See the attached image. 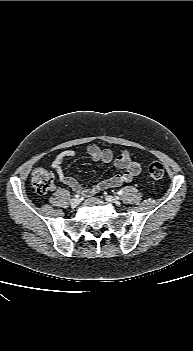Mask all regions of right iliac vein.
<instances>
[{"label": "right iliac vein", "mask_w": 193, "mask_h": 351, "mask_svg": "<svg viewBox=\"0 0 193 351\" xmlns=\"http://www.w3.org/2000/svg\"><path fill=\"white\" fill-rule=\"evenodd\" d=\"M79 204H80V200L77 199V198H73V199L70 201V205H71L72 208H76Z\"/></svg>", "instance_id": "right-iliac-vein-1"}]
</instances>
